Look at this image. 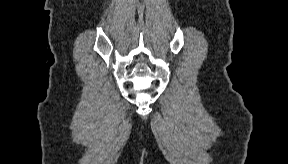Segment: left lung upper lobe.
<instances>
[{
    "label": "left lung upper lobe",
    "instance_id": "obj_1",
    "mask_svg": "<svg viewBox=\"0 0 288 164\" xmlns=\"http://www.w3.org/2000/svg\"><path fill=\"white\" fill-rule=\"evenodd\" d=\"M248 82H253V80L251 78H248Z\"/></svg>",
    "mask_w": 288,
    "mask_h": 164
}]
</instances>
